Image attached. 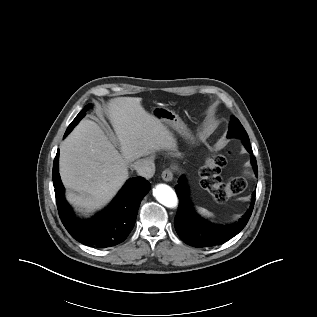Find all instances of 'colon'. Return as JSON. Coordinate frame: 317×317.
<instances>
[{
    "label": "colon",
    "mask_w": 317,
    "mask_h": 317,
    "mask_svg": "<svg viewBox=\"0 0 317 317\" xmlns=\"http://www.w3.org/2000/svg\"><path fill=\"white\" fill-rule=\"evenodd\" d=\"M226 164L224 155H214L209 158L201 170V184L218 201H225L229 197L242 193L247 186L245 176L235 177L223 182L220 171Z\"/></svg>",
    "instance_id": "1"
}]
</instances>
